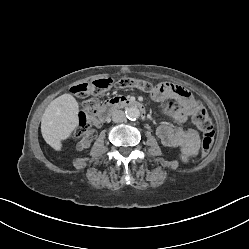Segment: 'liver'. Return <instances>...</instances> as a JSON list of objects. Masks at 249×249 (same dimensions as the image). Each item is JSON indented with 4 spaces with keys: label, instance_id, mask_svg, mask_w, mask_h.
<instances>
[{
    "label": "liver",
    "instance_id": "liver-1",
    "mask_svg": "<svg viewBox=\"0 0 249 249\" xmlns=\"http://www.w3.org/2000/svg\"><path fill=\"white\" fill-rule=\"evenodd\" d=\"M79 104L70 94L54 99L41 119V133L54 150L61 151L62 141L69 138L78 126Z\"/></svg>",
    "mask_w": 249,
    "mask_h": 249
}]
</instances>
